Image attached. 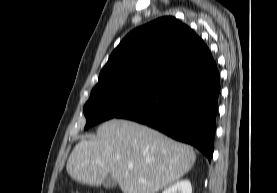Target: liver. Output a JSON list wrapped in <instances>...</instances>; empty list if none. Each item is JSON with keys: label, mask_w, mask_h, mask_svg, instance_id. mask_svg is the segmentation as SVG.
<instances>
[{"label": "liver", "mask_w": 277, "mask_h": 193, "mask_svg": "<svg viewBox=\"0 0 277 193\" xmlns=\"http://www.w3.org/2000/svg\"><path fill=\"white\" fill-rule=\"evenodd\" d=\"M195 161L192 147L136 122L112 119L99 126L94 139L74 147L66 169L84 184L98 186L111 176L123 193H157L184 176Z\"/></svg>", "instance_id": "6515ba94"}]
</instances>
